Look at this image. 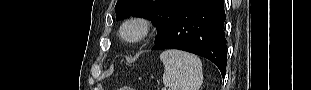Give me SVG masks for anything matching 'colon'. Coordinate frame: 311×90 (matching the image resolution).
Listing matches in <instances>:
<instances>
[{
    "instance_id": "5ec220e1",
    "label": "colon",
    "mask_w": 311,
    "mask_h": 90,
    "mask_svg": "<svg viewBox=\"0 0 311 90\" xmlns=\"http://www.w3.org/2000/svg\"><path fill=\"white\" fill-rule=\"evenodd\" d=\"M120 90H133V89L130 87H121Z\"/></svg>"
}]
</instances>
